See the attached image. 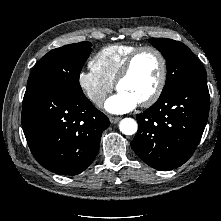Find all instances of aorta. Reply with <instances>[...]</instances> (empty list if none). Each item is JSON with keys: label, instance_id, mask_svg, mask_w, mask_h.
<instances>
[{"label": "aorta", "instance_id": "1", "mask_svg": "<svg viewBox=\"0 0 221 221\" xmlns=\"http://www.w3.org/2000/svg\"><path fill=\"white\" fill-rule=\"evenodd\" d=\"M137 129V122L132 118H124L119 123V130L125 135H133Z\"/></svg>", "mask_w": 221, "mask_h": 221}]
</instances>
